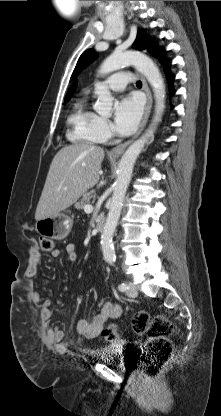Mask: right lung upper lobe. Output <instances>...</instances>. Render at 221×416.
<instances>
[{
    "mask_svg": "<svg viewBox=\"0 0 221 416\" xmlns=\"http://www.w3.org/2000/svg\"><path fill=\"white\" fill-rule=\"evenodd\" d=\"M75 87H76V83H74L72 85V87L70 88V90L68 91L67 95H66V100L72 95V93L75 91Z\"/></svg>",
    "mask_w": 221,
    "mask_h": 416,
    "instance_id": "1",
    "label": "right lung upper lobe"
}]
</instances>
